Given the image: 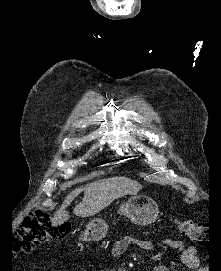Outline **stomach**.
<instances>
[{
  "label": "stomach",
  "instance_id": "stomach-1",
  "mask_svg": "<svg viewBox=\"0 0 221 271\" xmlns=\"http://www.w3.org/2000/svg\"><path fill=\"white\" fill-rule=\"evenodd\" d=\"M154 197H128L126 203L120 205L119 213L130 217L137 225H148L154 219V213H158L157 202ZM108 231L107 223H103L101 219H91L86 225L82 238L88 241H99Z\"/></svg>",
  "mask_w": 221,
  "mask_h": 271
}]
</instances>
